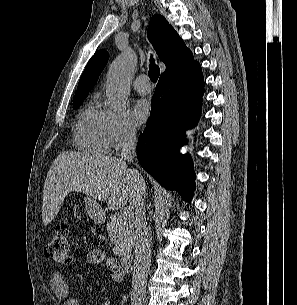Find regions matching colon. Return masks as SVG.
I'll use <instances>...</instances> for the list:
<instances>
[{
	"label": "colon",
	"instance_id": "colon-1",
	"mask_svg": "<svg viewBox=\"0 0 297 305\" xmlns=\"http://www.w3.org/2000/svg\"><path fill=\"white\" fill-rule=\"evenodd\" d=\"M49 257L57 263H66L70 259L69 225L61 221L55 227L53 235L46 245Z\"/></svg>",
	"mask_w": 297,
	"mask_h": 305
}]
</instances>
